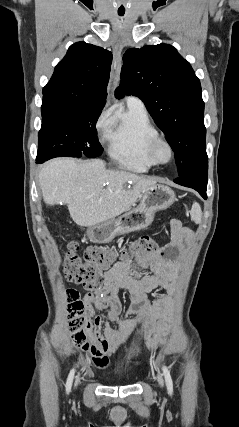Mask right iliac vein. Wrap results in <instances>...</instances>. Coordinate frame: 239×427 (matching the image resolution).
I'll use <instances>...</instances> for the list:
<instances>
[{
	"instance_id": "63e3f726",
	"label": "right iliac vein",
	"mask_w": 239,
	"mask_h": 427,
	"mask_svg": "<svg viewBox=\"0 0 239 427\" xmlns=\"http://www.w3.org/2000/svg\"><path fill=\"white\" fill-rule=\"evenodd\" d=\"M79 382H80V376H77L75 380V387L79 384Z\"/></svg>"
}]
</instances>
